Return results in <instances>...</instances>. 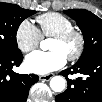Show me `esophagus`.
Instances as JSON below:
<instances>
[{"label": "esophagus", "mask_w": 102, "mask_h": 102, "mask_svg": "<svg viewBox=\"0 0 102 102\" xmlns=\"http://www.w3.org/2000/svg\"><path fill=\"white\" fill-rule=\"evenodd\" d=\"M52 77H53L52 74H49V75H41V76H39V79L42 80V81H49Z\"/></svg>", "instance_id": "obj_1"}]
</instances>
